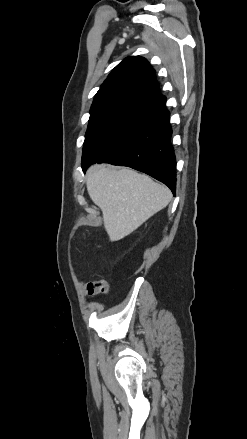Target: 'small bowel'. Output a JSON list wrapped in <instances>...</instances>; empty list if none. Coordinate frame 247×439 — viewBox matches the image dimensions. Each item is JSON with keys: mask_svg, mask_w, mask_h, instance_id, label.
<instances>
[{"mask_svg": "<svg viewBox=\"0 0 247 439\" xmlns=\"http://www.w3.org/2000/svg\"><path fill=\"white\" fill-rule=\"evenodd\" d=\"M108 283L104 280L88 282L83 285L82 292L84 295L95 297L98 294H105L108 292Z\"/></svg>", "mask_w": 247, "mask_h": 439, "instance_id": "1", "label": "small bowel"}]
</instances>
